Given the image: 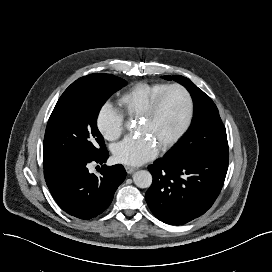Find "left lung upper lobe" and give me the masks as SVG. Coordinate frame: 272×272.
<instances>
[{
    "instance_id": "5c2ea615",
    "label": "left lung upper lobe",
    "mask_w": 272,
    "mask_h": 272,
    "mask_svg": "<svg viewBox=\"0 0 272 272\" xmlns=\"http://www.w3.org/2000/svg\"><path fill=\"white\" fill-rule=\"evenodd\" d=\"M164 78L182 84L190 92L194 103L190 129L167 155L190 158L228 153L226 129L212 99L186 77L167 75Z\"/></svg>"
}]
</instances>
